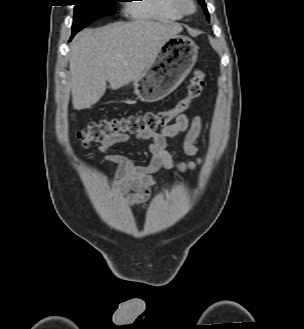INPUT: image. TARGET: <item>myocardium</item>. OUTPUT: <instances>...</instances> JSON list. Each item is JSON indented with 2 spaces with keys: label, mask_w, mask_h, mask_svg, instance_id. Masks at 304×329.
Masks as SVG:
<instances>
[{
  "label": "myocardium",
  "mask_w": 304,
  "mask_h": 329,
  "mask_svg": "<svg viewBox=\"0 0 304 329\" xmlns=\"http://www.w3.org/2000/svg\"><path fill=\"white\" fill-rule=\"evenodd\" d=\"M176 9L182 15H192L196 12L197 6L194 0H173Z\"/></svg>",
  "instance_id": "myocardium-1"
}]
</instances>
